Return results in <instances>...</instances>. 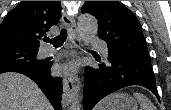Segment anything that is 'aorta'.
<instances>
[{"mask_svg": "<svg viewBox=\"0 0 171 110\" xmlns=\"http://www.w3.org/2000/svg\"><path fill=\"white\" fill-rule=\"evenodd\" d=\"M77 28L80 38L85 44H88L97 34L98 22L97 19L89 14L80 15L77 22ZM80 96H76L69 110H80Z\"/></svg>", "mask_w": 171, "mask_h": 110, "instance_id": "1", "label": "aorta"}]
</instances>
